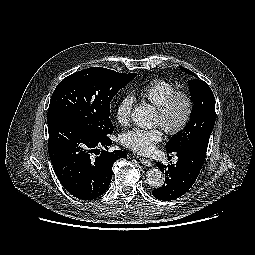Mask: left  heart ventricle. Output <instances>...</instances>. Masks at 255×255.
<instances>
[{
	"instance_id": "1",
	"label": "left heart ventricle",
	"mask_w": 255,
	"mask_h": 255,
	"mask_svg": "<svg viewBox=\"0 0 255 255\" xmlns=\"http://www.w3.org/2000/svg\"><path fill=\"white\" fill-rule=\"evenodd\" d=\"M184 111H185V103L182 100H180L176 103V105L173 108L171 120L173 122L179 121L181 117L183 116ZM156 120H157V123L160 122V117L158 113H157Z\"/></svg>"
}]
</instances>
